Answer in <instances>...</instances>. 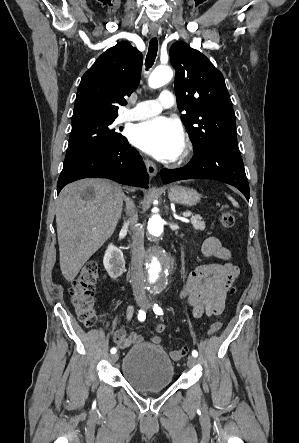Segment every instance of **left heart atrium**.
Here are the masks:
<instances>
[{"instance_id": "1", "label": "left heart atrium", "mask_w": 299, "mask_h": 443, "mask_svg": "<svg viewBox=\"0 0 299 443\" xmlns=\"http://www.w3.org/2000/svg\"><path fill=\"white\" fill-rule=\"evenodd\" d=\"M140 150L163 161L179 157L184 147V131L180 122L159 116L135 125L129 135Z\"/></svg>"}]
</instances>
